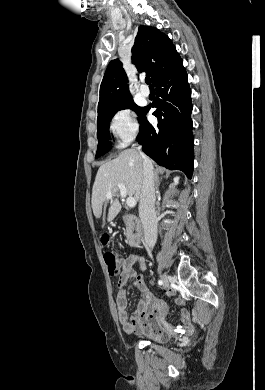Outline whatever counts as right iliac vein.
<instances>
[{
  "label": "right iliac vein",
  "mask_w": 265,
  "mask_h": 390,
  "mask_svg": "<svg viewBox=\"0 0 265 390\" xmlns=\"http://www.w3.org/2000/svg\"><path fill=\"white\" fill-rule=\"evenodd\" d=\"M162 281H163L164 287L168 288L169 287V283H170V277L168 275L164 274L162 276Z\"/></svg>",
  "instance_id": "right-iliac-vein-1"
}]
</instances>
